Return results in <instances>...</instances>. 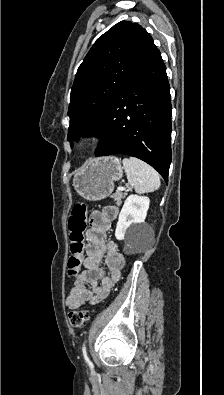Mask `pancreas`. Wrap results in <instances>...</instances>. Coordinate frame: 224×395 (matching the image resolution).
I'll return each mask as SVG.
<instances>
[{"label": "pancreas", "instance_id": "1", "mask_svg": "<svg viewBox=\"0 0 224 395\" xmlns=\"http://www.w3.org/2000/svg\"><path fill=\"white\" fill-rule=\"evenodd\" d=\"M125 193L123 194V193H121V192H116L114 195H113V198H114V200L116 201V204L117 205H120L121 203H122V198H124L125 197Z\"/></svg>", "mask_w": 224, "mask_h": 395}]
</instances>
